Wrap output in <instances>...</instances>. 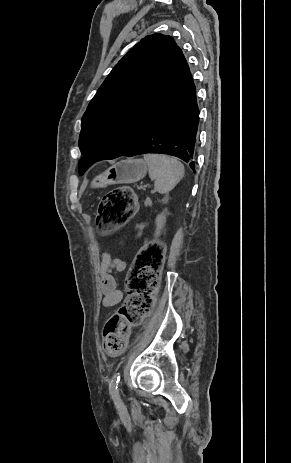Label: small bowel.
<instances>
[{
	"mask_svg": "<svg viewBox=\"0 0 291 463\" xmlns=\"http://www.w3.org/2000/svg\"><path fill=\"white\" fill-rule=\"evenodd\" d=\"M126 268L124 260L112 257L108 253L101 256L99 266L100 288L103 294L102 305L113 307L123 298V291L119 287L118 281L113 275L115 272H122Z\"/></svg>",
	"mask_w": 291,
	"mask_h": 463,
	"instance_id": "c3829d8e",
	"label": "small bowel"
}]
</instances>
